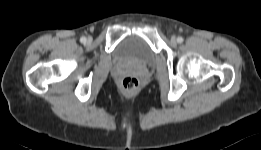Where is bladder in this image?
Instances as JSON below:
<instances>
[{
    "mask_svg": "<svg viewBox=\"0 0 261 150\" xmlns=\"http://www.w3.org/2000/svg\"><path fill=\"white\" fill-rule=\"evenodd\" d=\"M113 55L117 62L138 66H151L157 59L149 43L135 35L122 39L116 45Z\"/></svg>",
    "mask_w": 261,
    "mask_h": 150,
    "instance_id": "bladder-1",
    "label": "bladder"
}]
</instances>
